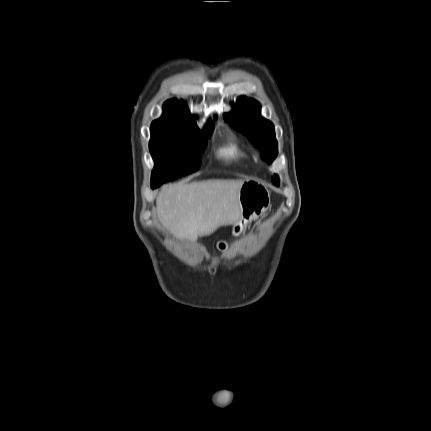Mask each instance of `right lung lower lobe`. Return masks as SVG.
I'll list each match as a JSON object with an SVG mask.
<instances>
[{
	"mask_svg": "<svg viewBox=\"0 0 431 431\" xmlns=\"http://www.w3.org/2000/svg\"><path fill=\"white\" fill-rule=\"evenodd\" d=\"M151 187L152 188H157L158 186L151 184Z\"/></svg>",
	"mask_w": 431,
	"mask_h": 431,
	"instance_id": "1",
	"label": "right lung lower lobe"
}]
</instances>
